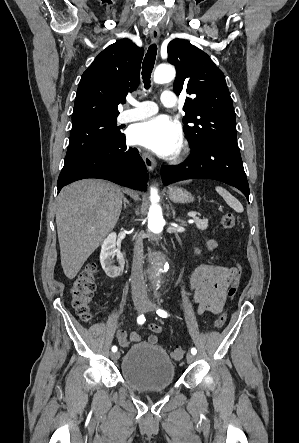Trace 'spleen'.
Wrapping results in <instances>:
<instances>
[{"mask_svg":"<svg viewBox=\"0 0 299 443\" xmlns=\"http://www.w3.org/2000/svg\"><path fill=\"white\" fill-rule=\"evenodd\" d=\"M215 190L219 195L223 197L225 202L236 212L241 213L244 211L242 204L234 196H232L226 189L217 186L215 187Z\"/></svg>","mask_w":299,"mask_h":443,"instance_id":"3e777b00","label":"spleen"}]
</instances>
